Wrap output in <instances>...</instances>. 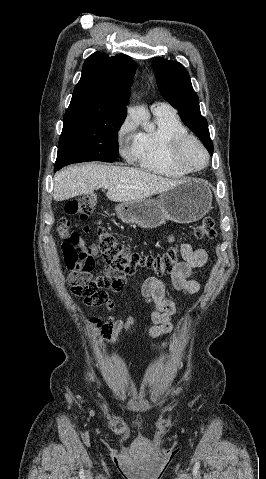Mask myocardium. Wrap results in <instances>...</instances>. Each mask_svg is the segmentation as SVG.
Returning a JSON list of instances; mask_svg holds the SVG:
<instances>
[{"label":"myocardium","instance_id":"myocardium-1","mask_svg":"<svg viewBox=\"0 0 266 479\" xmlns=\"http://www.w3.org/2000/svg\"><path fill=\"white\" fill-rule=\"evenodd\" d=\"M189 145H196L203 153L204 161L200 166L191 167L185 161L184 151ZM170 158L177 167L188 173H193L201 171L207 167L209 164L210 155L204 144L198 138L187 134L177 136L172 140L170 146Z\"/></svg>","mask_w":266,"mask_h":479}]
</instances>
